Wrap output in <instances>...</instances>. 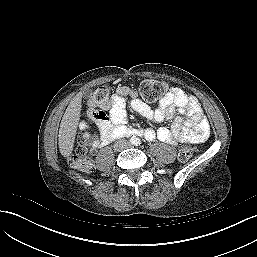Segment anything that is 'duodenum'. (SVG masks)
<instances>
[{
	"mask_svg": "<svg viewBox=\"0 0 257 257\" xmlns=\"http://www.w3.org/2000/svg\"><path fill=\"white\" fill-rule=\"evenodd\" d=\"M143 131L131 128H117L111 133V139L119 138L121 136H141Z\"/></svg>",
	"mask_w": 257,
	"mask_h": 257,
	"instance_id": "obj_1",
	"label": "duodenum"
}]
</instances>
